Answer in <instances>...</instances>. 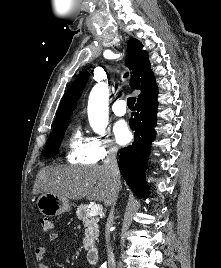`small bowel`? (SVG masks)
Returning a JSON list of instances; mask_svg holds the SVG:
<instances>
[{
  "label": "small bowel",
  "mask_w": 221,
  "mask_h": 268,
  "mask_svg": "<svg viewBox=\"0 0 221 268\" xmlns=\"http://www.w3.org/2000/svg\"><path fill=\"white\" fill-rule=\"evenodd\" d=\"M59 238L58 233L50 232L48 234L49 241H56ZM47 252V248L45 246H39L35 250V257L39 262L38 268H49L48 264L44 261L45 255Z\"/></svg>",
  "instance_id": "1"
}]
</instances>
